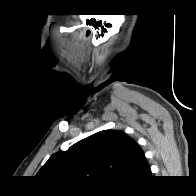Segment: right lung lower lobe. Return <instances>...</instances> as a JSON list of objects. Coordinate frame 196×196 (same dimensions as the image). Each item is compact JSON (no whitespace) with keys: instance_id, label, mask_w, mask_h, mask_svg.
I'll use <instances>...</instances> for the list:
<instances>
[{"instance_id":"98d812e1","label":"right lung lower lobe","mask_w":196,"mask_h":196,"mask_svg":"<svg viewBox=\"0 0 196 196\" xmlns=\"http://www.w3.org/2000/svg\"><path fill=\"white\" fill-rule=\"evenodd\" d=\"M147 178H149V176H148ZM143 182H144V180H143L141 183H139V184L129 185V187L139 186V185H141Z\"/></svg>"}]
</instances>
